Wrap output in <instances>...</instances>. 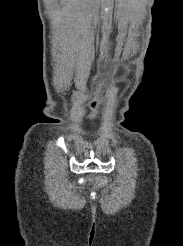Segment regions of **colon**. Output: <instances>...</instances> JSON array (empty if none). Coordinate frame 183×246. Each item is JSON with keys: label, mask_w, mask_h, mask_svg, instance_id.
I'll use <instances>...</instances> for the list:
<instances>
[{"label": "colon", "mask_w": 183, "mask_h": 246, "mask_svg": "<svg viewBox=\"0 0 183 246\" xmlns=\"http://www.w3.org/2000/svg\"><path fill=\"white\" fill-rule=\"evenodd\" d=\"M86 179L88 182H97L99 186H102L105 184V180L102 179V178H97V177H94L93 174H86Z\"/></svg>", "instance_id": "5ec220e1"}]
</instances>
